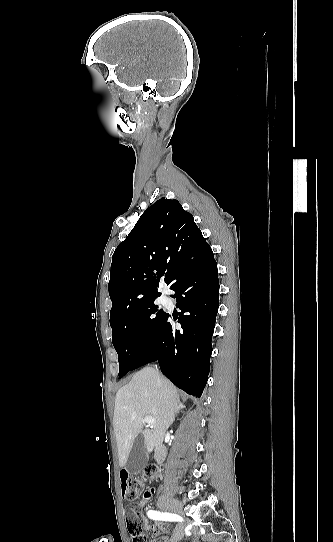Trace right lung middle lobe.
<instances>
[{
	"mask_svg": "<svg viewBox=\"0 0 333 542\" xmlns=\"http://www.w3.org/2000/svg\"><path fill=\"white\" fill-rule=\"evenodd\" d=\"M166 315L153 301L110 319L112 342L118 353L119 378L133 370L137 360L152 346Z\"/></svg>",
	"mask_w": 333,
	"mask_h": 542,
	"instance_id": "1",
	"label": "right lung middle lobe"
}]
</instances>
